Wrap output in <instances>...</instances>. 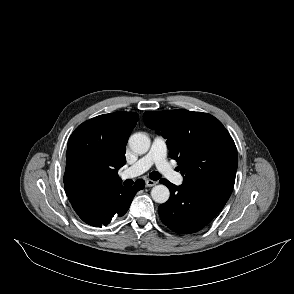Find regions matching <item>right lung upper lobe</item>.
<instances>
[{
    "label": "right lung upper lobe",
    "mask_w": 294,
    "mask_h": 294,
    "mask_svg": "<svg viewBox=\"0 0 294 294\" xmlns=\"http://www.w3.org/2000/svg\"><path fill=\"white\" fill-rule=\"evenodd\" d=\"M134 112L92 118L72 133L66 152L65 191L72 206H82L104 190L122 185L125 146L138 121Z\"/></svg>",
    "instance_id": "cb5924a9"
}]
</instances>
